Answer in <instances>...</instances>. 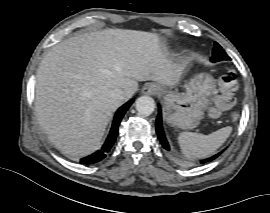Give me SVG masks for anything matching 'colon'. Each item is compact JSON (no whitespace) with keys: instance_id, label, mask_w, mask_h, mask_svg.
<instances>
[{"instance_id":"1","label":"colon","mask_w":270,"mask_h":213,"mask_svg":"<svg viewBox=\"0 0 270 213\" xmlns=\"http://www.w3.org/2000/svg\"><path fill=\"white\" fill-rule=\"evenodd\" d=\"M238 88L237 74L234 69L225 70L220 76L218 88L211 98L207 113L213 118L220 117L235 104L234 94Z\"/></svg>"}]
</instances>
